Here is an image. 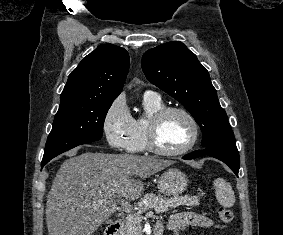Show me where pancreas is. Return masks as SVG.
I'll return each mask as SVG.
<instances>
[{"instance_id":"cf45deb5","label":"pancreas","mask_w":283,"mask_h":235,"mask_svg":"<svg viewBox=\"0 0 283 235\" xmlns=\"http://www.w3.org/2000/svg\"><path fill=\"white\" fill-rule=\"evenodd\" d=\"M199 200V197L190 195L166 198L162 195L146 194L143 199L137 203L138 212L130 214L125 218L126 225L124 235H142L141 213L150 208H154L156 213H163L178 206H198Z\"/></svg>"}]
</instances>
